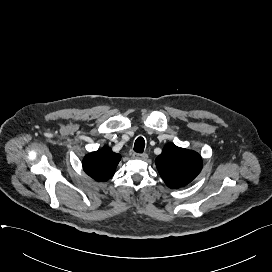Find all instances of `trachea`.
<instances>
[{"label": "trachea", "instance_id": "1", "mask_svg": "<svg viewBox=\"0 0 272 272\" xmlns=\"http://www.w3.org/2000/svg\"><path fill=\"white\" fill-rule=\"evenodd\" d=\"M145 148V140L142 137H138L134 144V151L137 153H143Z\"/></svg>", "mask_w": 272, "mask_h": 272}]
</instances>
